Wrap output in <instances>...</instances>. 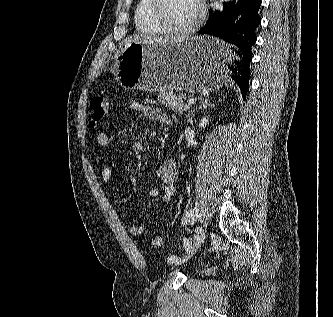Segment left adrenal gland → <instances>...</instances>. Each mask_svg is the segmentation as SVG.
<instances>
[{
  "instance_id": "obj_1",
  "label": "left adrenal gland",
  "mask_w": 333,
  "mask_h": 317,
  "mask_svg": "<svg viewBox=\"0 0 333 317\" xmlns=\"http://www.w3.org/2000/svg\"><path fill=\"white\" fill-rule=\"evenodd\" d=\"M207 107H214V104L210 101V99L203 100L198 107H196L190 111V113L188 114V117L193 115V113L196 110H200L202 108H207Z\"/></svg>"
}]
</instances>
